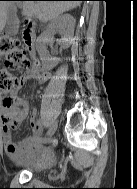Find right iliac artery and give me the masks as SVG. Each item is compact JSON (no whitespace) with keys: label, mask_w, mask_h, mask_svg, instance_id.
<instances>
[{"label":"right iliac artery","mask_w":137,"mask_h":189,"mask_svg":"<svg viewBox=\"0 0 137 189\" xmlns=\"http://www.w3.org/2000/svg\"><path fill=\"white\" fill-rule=\"evenodd\" d=\"M49 128H50V122H47V125H44L43 130H49ZM43 137H45V134H41V136H38L36 140L39 141L43 139Z\"/></svg>","instance_id":"obj_1"}]
</instances>
